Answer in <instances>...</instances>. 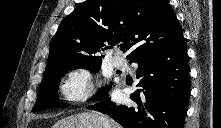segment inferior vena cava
I'll use <instances>...</instances> for the list:
<instances>
[{"mask_svg":"<svg viewBox=\"0 0 221 128\" xmlns=\"http://www.w3.org/2000/svg\"><path fill=\"white\" fill-rule=\"evenodd\" d=\"M100 120L103 122L104 128H108V122L104 117H101Z\"/></svg>","mask_w":221,"mask_h":128,"instance_id":"inferior-vena-cava-1","label":"inferior vena cava"}]
</instances>
